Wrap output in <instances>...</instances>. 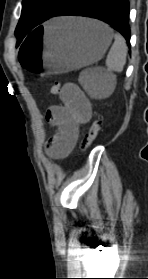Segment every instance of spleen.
<instances>
[{
	"label": "spleen",
	"mask_w": 148,
	"mask_h": 279,
	"mask_svg": "<svg viewBox=\"0 0 148 279\" xmlns=\"http://www.w3.org/2000/svg\"><path fill=\"white\" fill-rule=\"evenodd\" d=\"M128 48L125 39L120 34L114 35V43L107 55L106 65L109 72H121L126 64ZM90 72L85 70L79 77L82 87L94 98H103L109 96L115 88L114 83H108L103 80L87 79Z\"/></svg>",
	"instance_id": "spleen-1"
}]
</instances>
